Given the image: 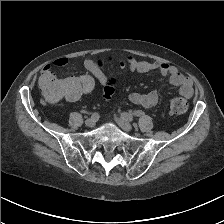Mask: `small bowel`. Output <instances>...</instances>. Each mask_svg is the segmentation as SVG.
I'll return each instance as SVG.
<instances>
[{
	"label": "small bowel",
	"instance_id": "obj_1",
	"mask_svg": "<svg viewBox=\"0 0 224 224\" xmlns=\"http://www.w3.org/2000/svg\"><path fill=\"white\" fill-rule=\"evenodd\" d=\"M113 61H116L120 68L128 69L130 71L145 73L152 70H157L162 76L169 77L170 84L178 87L179 92L183 97L190 98L193 95L192 81L184 76L176 67L164 62H150L137 59L131 55L114 57L110 54H104L99 56L97 59H85L84 67L99 83L105 85L108 82V79L103 72V67ZM67 64L68 59L64 57L58 58L54 61V65L57 67H64ZM52 77H54V74L52 72L51 65L47 64L42 69L40 83ZM129 100L135 105L151 108L158 102V92L156 90H151L145 93L133 92L129 95Z\"/></svg>",
	"mask_w": 224,
	"mask_h": 224
}]
</instances>
